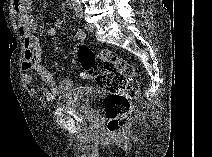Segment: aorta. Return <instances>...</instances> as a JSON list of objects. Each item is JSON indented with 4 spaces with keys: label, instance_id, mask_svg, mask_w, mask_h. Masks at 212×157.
I'll use <instances>...</instances> for the list:
<instances>
[{
    "label": "aorta",
    "instance_id": "1",
    "mask_svg": "<svg viewBox=\"0 0 212 157\" xmlns=\"http://www.w3.org/2000/svg\"><path fill=\"white\" fill-rule=\"evenodd\" d=\"M78 3H79V0H76V1H75V4L77 5Z\"/></svg>",
    "mask_w": 212,
    "mask_h": 157
}]
</instances>
